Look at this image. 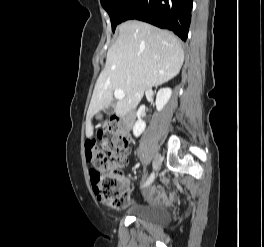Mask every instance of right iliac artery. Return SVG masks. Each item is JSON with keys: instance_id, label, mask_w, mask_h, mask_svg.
Instances as JSON below:
<instances>
[{"instance_id": "right-iliac-artery-1", "label": "right iliac artery", "mask_w": 264, "mask_h": 247, "mask_svg": "<svg viewBox=\"0 0 264 247\" xmlns=\"http://www.w3.org/2000/svg\"><path fill=\"white\" fill-rule=\"evenodd\" d=\"M154 177H155V174L152 173L142 187H146V186L150 185L153 182Z\"/></svg>"}]
</instances>
